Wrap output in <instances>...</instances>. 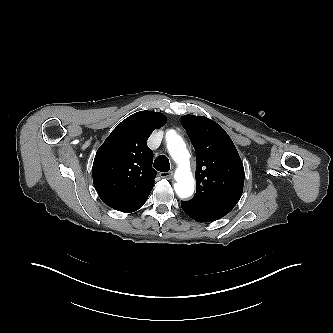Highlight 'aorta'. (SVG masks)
<instances>
[{
    "label": "aorta",
    "mask_w": 333,
    "mask_h": 333,
    "mask_svg": "<svg viewBox=\"0 0 333 333\" xmlns=\"http://www.w3.org/2000/svg\"><path fill=\"white\" fill-rule=\"evenodd\" d=\"M167 149L177 163L174 190L182 198L190 197L194 192L195 180L189 170V152L181 136L174 132L167 133Z\"/></svg>",
    "instance_id": "1"
}]
</instances>
